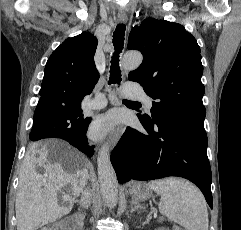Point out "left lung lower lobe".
I'll list each match as a JSON object with an SVG mask.
<instances>
[{
    "label": "left lung lower lobe",
    "mask_w": 241,
    "mask_h": 230,
    "mask_svg": "<svg viewBox=\"0 0 241 230\" xmlns=\"http://www.w3.org/2000/svg\"><path fill=\"white\" fill-rule=\"evenodd\" d=\"M139 120L147 133L128 127L111 153L118 182L183 177L199 187L212 208L204 121L171 112L158 113L153 122Z\"/></svg>",
    "instance_id": "left-lung-lower-lobe-1"
}]
</instances>
